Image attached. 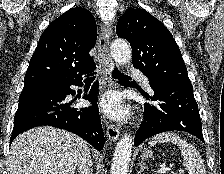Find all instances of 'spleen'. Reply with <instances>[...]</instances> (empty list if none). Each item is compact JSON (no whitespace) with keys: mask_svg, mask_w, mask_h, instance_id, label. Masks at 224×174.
<instances>
[{"mask_svg":"<svg viewBox=\"0 0 224 174\" xmlns=\"http://www.w3.org/2000/svg\"><path fill=\"white\" fill-rule=\"evenodd\" d=\"M172 142L177 145L183 156V165L188 170L189 174H206L205 165L197 149L180 138L174 133H159L155 135L149 142L150 146L157 143Z\"/></svg>","mask_w":224,"mask_h":174,"instance_id":"spleen-1","label":"spleen"}]
</instances>
